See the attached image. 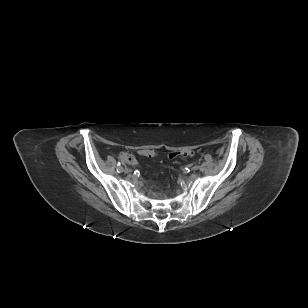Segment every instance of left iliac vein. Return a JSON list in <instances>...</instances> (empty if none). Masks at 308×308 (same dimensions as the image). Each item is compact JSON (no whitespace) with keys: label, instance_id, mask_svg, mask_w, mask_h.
Returning a JSON list of instances; mask_svg holds the SVG:
<instances>
[{"label":"left iliac vein","instance_id":"4c4485c4","mask_svg":"<svg viewBox=\"0 0 308 308\" xmlns=\"http://www.w3.org/2000/svg\"><path fill=\"white\" fill-rule=\"evenodd\" d=\"M198 169H199V166H198V165H195V166L192 167V170H194V171H195V170H198Z\"/></svg>","mask_w":308,"mask_h":308}]
</instances>
